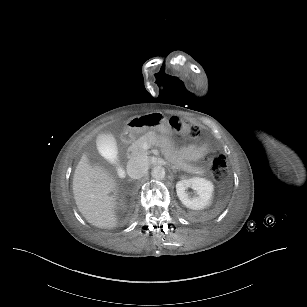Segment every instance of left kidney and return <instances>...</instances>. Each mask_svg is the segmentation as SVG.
<instances>
[{"mask_svg": "<svg viewBox=\"0 0 307 307\" xmlns=\"http://www.w3.org/2000/svg\"><path fill=\"white\" fill-rule=\"evenodd\" d=\"M191 188L193 192L186 190ZM213 184L204 178L183 179L176 183V194L180 202L192 210H200L210 205Z\"/></svg>", "mask_w": 307, "mask_h": 307, "instance_id": "left-kidney-1", "label": "left kidney"}]
</instances>
